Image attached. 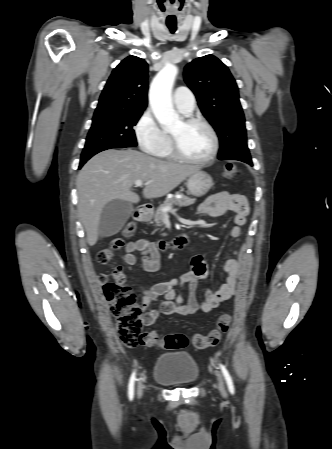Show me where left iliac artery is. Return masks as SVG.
Instances as JSON below:
<instances>
[{"label": "left iliac artery", "mask_w": 332, "mask_h": 449, "mask_svg": "<svg viewBox=\"0 0 332 449\" xmlns=\"http://www.w3.org/2000/svg\"><path fill=\"white\" fill-rule=\"evenodd\" d=\"M219 365H220V369H221V371L223 373V376H224V378L226 380V383H227V386H228V389H229L230 393L234 394V392H235L234 384H233L232 378H231L228 370L226 369V367L223 364H219Z\"/></svg>", "instance_id": "obj_1"}]
</instances>
